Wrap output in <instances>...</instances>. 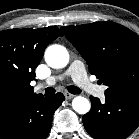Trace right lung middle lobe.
Masks as SVG:
<instances>
[{
  "label": "right lung middle lobe",
  "instance_id": "right-lung-middle-lobe-1",
  "mask_svg": "<svg viewBox=\"0 0 139 139\" xmlns=\"http://www.w3.org/2000/svg\"><path fill=\"white\" fill-rule=\"evenodd\" d=\"M11 97L3 85H0V110L11 107Z\"/></svg>",
  "mask_w": 139,
  "mask_h": 139
}]
</instances>
